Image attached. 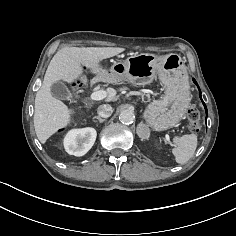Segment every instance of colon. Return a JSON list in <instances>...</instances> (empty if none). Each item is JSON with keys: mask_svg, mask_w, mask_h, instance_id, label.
<instances>
[{"mask_svg": "<svg viewBox=\"0 0 236 236\" xmlns=\"http://www.w3.org/2000/svg\"><path fill=\"white\" fill-rule=\"evenodd\" d=\"M79 86V81L73 82L71 85L72 91L75 92ZM187 119L189 122V130L194 134L198 133L200 131V113L198 109L195 107L190 108L187 112Z\"/></svg>", "mask_w": 236, "mask_h": 236, "instance_id": "colon-1", "label": "colon"}]
</instances>
